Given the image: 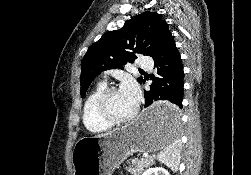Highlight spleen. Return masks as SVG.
Masks as SVG:
<instances>
[{"mask_svg": "<svg viewBox=\"0 0 251 175\" xmlns=\"http://www.w3.org/2000/svg\"><path fill=\"white\" fill-rule=\"evenodd\" d=\"M162 127V133H164L165 137H168V139L164 149L158 153L157 159L162 161V163H166L168 167H171L172 171H178L182 145L180 141L175 143L177 137H179V119L177 111H171V113L165 117Z\"/></svg>", "mask_w": 251, "mask_h": 175, "instance_id": "spleen-1", "label": "spleen"}]
</instances>
